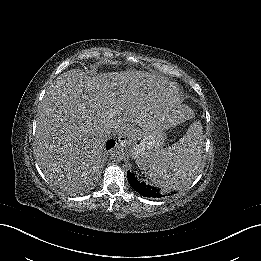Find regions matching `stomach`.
<instances>
[{
  "instance_id": "0dacf381",
  "label": "stomach",
  "mask_w": 261,
  "mask_h": 261,
  "mask_svg": "<svg viewBox=\"0 0 261 261\" xmlns=\"http://www.w3.org/2000/svg\"><path fill=\"white\" fill-rule=\"evenodd\" d=\"M134 129L132 137L131 155L136 161L142 160L147 154L157 151L164 142L161 130V119L151 118L146 126Z\"/></svg>"
}]
</instances>
